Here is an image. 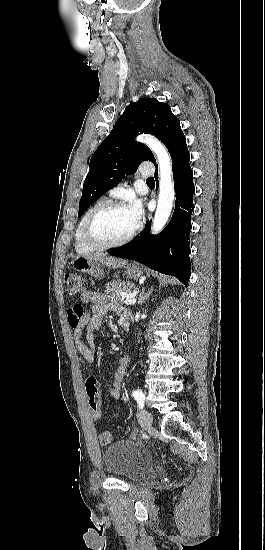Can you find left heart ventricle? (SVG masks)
<instances>
[{
  "label": "left heart ventricle",
  "instance_id": "1",
  "mask_svg": "<svg viewBox=\"0 0 265 550\" xmlns=\"http://www.w3.org/2000/svg\"><path fill=\"white\" fill-rule=\"evenodd\" d=\"M136 223L128 208L111 209L99 215L92 224L93 234L102 241H117L127 236Z\"/></svg>",
  "mask_w": 265,
  "mask_h": 550
}]
</instances>
